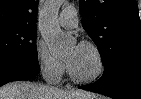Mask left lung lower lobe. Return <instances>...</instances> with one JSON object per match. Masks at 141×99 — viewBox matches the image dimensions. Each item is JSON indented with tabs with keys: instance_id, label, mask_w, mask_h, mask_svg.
Returning <instances> with one entry per match:
<instances>
[{
	"instance_id": "0a47b994",
	"label": "left lung lower lobe",
	"mask_w": 141,
	"mask_h": 99,
	"mask_svg": "<svg viewBox=\"0 0 141 99\" xmlns=\"http://www.w3.org/2000/svg\"><path fill=\"white\" fill-rule=\"evenodd\" d=\"M114 99H141V59H124L89 85L80 86Z\"/></svg>"
}]
</instances>
